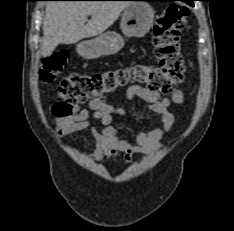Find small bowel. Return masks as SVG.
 Segmentation results:
<instances>
[{
    "label": "small bowel",
    "instance_id": "c3829d8e",
    "mask_svg": "<svg viewBox=\"0 0 234 231\" xmlns=\"http://www.w3.org/2000/svg\"><path fill=\"white\" fill-rule=\"evenodd\" d=\"M126 95L129 100L139 98L145 101L150 112L161 116L162 126L138 133L134 141L121 136L115 126V119L125 116V109L101 97L92 100L87 109L72 114H62L60 106L53 105L51 112L58 135L62 137L88 131L95 143V148L89 154L90 160L94 162L101 161L103 158L117 161L120 154L129 161L138 152L155 153L162 147L161 140L174 124L175 119L170 106L183 101L182 91L176 88L169 97H164L141 86L132 85L127 89ZM91 117L100 122L101 128L92 124Z\"/></svg>",
    "mask_w": 234,
    "mask_h": 231
}]
</instances>
